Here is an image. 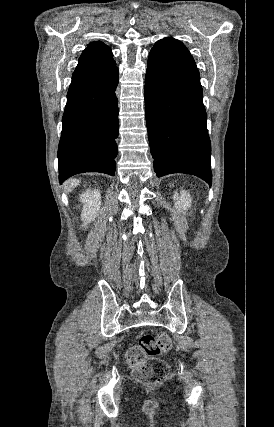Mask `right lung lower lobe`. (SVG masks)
Wrapping results in <instances>:
<instances>
[{
    "label": "right lung lower lobe",
    "instance_id": "1",
    "mask_svg": "<svg viewBox=\"0 0 274 427\" xmlns=\"http://www.w3.org/2000/svg\"><path fill=\"white\" fill-rule=\"evenodd\" d=\"M118 68L73 75L58 148L59 181L83 172L115 175Z\"/></svg>",
    "mask_w": 274,
    "mask_h": 427
}]
</instances>
